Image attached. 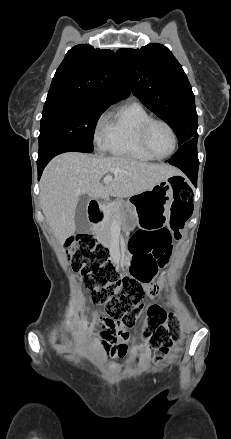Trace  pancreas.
Here are the masks:
<instances>
[{"instance_id":"pancreas-1","label":"pancreas","mask_w":231,"mask_h":439,"mask_svg":"<svg viewBox=\"0 0 231 439\" xmlns=\"http://www.w3.org/2000/svg\"><path fill=\"white\" fill-rule=\"evenodd\" d=\"M130 211L131 208L124 200H116L109 204L107 219L104 223V232L108 231L113 223L122 224Z\"/></svg>"}]
</instances>
